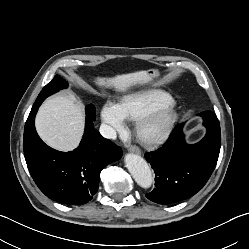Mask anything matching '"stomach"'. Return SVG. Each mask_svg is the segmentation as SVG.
Instances as JSON below:
<instances>
[{
	"label": "stomach",
	"mask_w": 249,
	"mask_h": 249,
	"mask_svg": "<svg viewBox=\"0 0 249 249\" xmlns=\"http://www.w3.org/2000/svg\"><path fill=\"white\" fill-rule=\"evenodd\" d=\"M145 73L147 74V76L151 79L153 77L158 76V71L155 69H148L147 71H145Z\"/></svg>",
	"instance_id": "0dacf381"
}]
</instances>
